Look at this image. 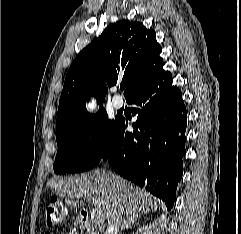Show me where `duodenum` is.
<instances>
[{"instance_id": "obj_1", "label": "duodenum", "mask_w": 241, "mask_h": 234, "mask_svg": "<svg viewBox=\"0 0 241 234\" xmlns=\"http://www.w3.org/2000/svg\"><path fill=\"white\" fill-rule=\"evenodd\" d=\"M78 222H79V225L84 229H86L89 234H97V232L91 225L88 212L81 211L78 215Z\"/></svg>"}]
</instances>
